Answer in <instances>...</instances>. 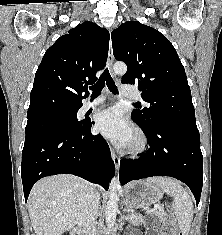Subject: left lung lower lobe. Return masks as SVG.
<instances>
[{"label":"left lung lower lobe","instance_id":"left-lung-lower-lobe-1","mask_svg":"<svg viewBox=\"0 0 222 235\" xmlns=\"http://www.w3.org/2000/svg\"><path fill=\"white\" fill-rule=\"evenodd\" d=\"M140 127L147 137L148 150L139 159L120 161L121 184L152 176L174 177L188 185L198 205L203 185L198 129L177 123Z\"/></svg>","mask_w":222,"mask_h":235}]
</instances>
